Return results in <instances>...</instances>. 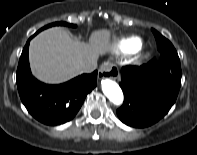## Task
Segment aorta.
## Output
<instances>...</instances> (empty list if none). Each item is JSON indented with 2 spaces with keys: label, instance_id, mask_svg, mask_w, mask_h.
<instances>
[{
  "label": "aorta",
  "instance_id": "obj_1",
  "mask_svg": "<svg viewBox=\"0 0 197 155\" xmlns=\"http://www.w3.org/2000/svg\"><path fill=\"white\" fill-rule=\"evenodd\" d=\"M102 91L105 96L115 105H121L124 99L123 92L119 85L110 79L102 80Z\"/></svg>",
  "mask_w": 197,
  "mask_h": 155
}]
</instances>
